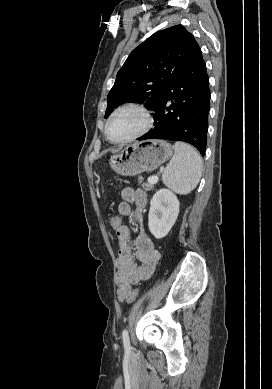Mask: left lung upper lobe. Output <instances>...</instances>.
Masks as SVG:
<instances>
[{
	"label": "left lung upper lobe",
	"instance_id": "1",
	"mask_svg": "<svg viewBox=\"0 0 272 389\" xmlns=\"http://www.w3.org/2000/svg\"><path fill=\"white\" fill-rule=\"evenodd\" d=\"M200 50L194 36L182 25L153 34L135 48L117 73L107 99V118L126 103H144L155 109L165 88Z\"/></svg>",
	"mask_w": 272,
	"mask_h": 389
}]
</instances>
